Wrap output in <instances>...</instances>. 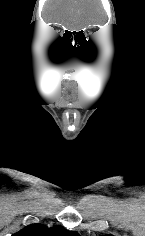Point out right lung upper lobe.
Segmentation results:
<instances>
[{"label":"right lung upper lobe","mask_w":145,"mask_h":236,"mask_svg":"<svg viewBox=\"0 0 145 236\" xmlns=\"http://www.w3.org/2000/svg\"><path fill=\"white\" fill-rule=\"evenodd\" d=\"M12 236H80L77 232L67 231L63 227H45L41 224L29 225Z\"/></svg>","instance_id":"1"}]
</instances>
